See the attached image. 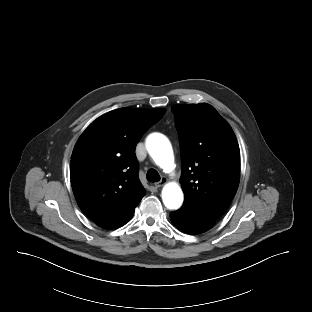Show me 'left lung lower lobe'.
I'll return each mask as SVG.
<instances>
[{"mask_svg": "<svg viewBox=\"0 0 312 312\" xmlns=\"http://www.w3.org/2000/svg\"><path fill=\"white\" fill-rule=\"evenodd\" d=\"M170 218L174 226L190 234L203 233L210 229L215 223V220L201 217L184 208L172 212Z\"/></svg>", "mask_w": 312, "mask_h": 312, "instance_id": "left-lung-lower-lobe-1", "label": "left lung lower lobe"}]
</instances>
